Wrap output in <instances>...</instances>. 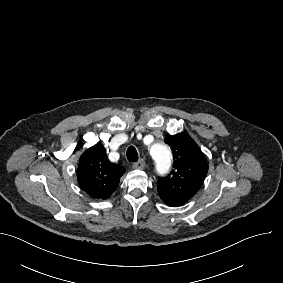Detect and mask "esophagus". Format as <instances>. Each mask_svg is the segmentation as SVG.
<instances>
[{
	"label": "esophagus",
	"mask_w": 283,
	"mask_h": 283,
	"mask_svg": "<svg viewBox=\"0 0 283 283\" xmlns=\"http://www.w3.org/2000/svg\"><path fill=\"white\" fill-rule=\"evenodd\" d=\"M145 165H146L145 160L141 158L140 160L133 163L132 167H133V169L140 170V169H143L145 167Z\"/></svg>",
	"instance_id": "obj_1"
}]
</instances>
